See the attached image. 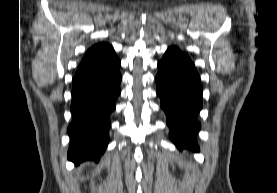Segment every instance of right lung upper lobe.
Returning <instances> with one entry per match:
<instances>
[{
  "mask_svg": "<svg viewBox=\"0 0 277 193\" xmlns=\"http://www.w3.org/2000/svg\"><path fill=\"white\" fill-rule=\"evenodd\" d=\"M111 48L112 47L110 45H108L107 43L102 42V43L96 44V45L92 46L86 52L81 63L95 59V58L101 56L102 54L106 53L107 51H109Z\"/></svg>",
  "mask_w": 277,
  "mask_h": 193,
  "instance_id": "cb5924a9",
  "label": "right lung upper lobe"
}]
</instances>
